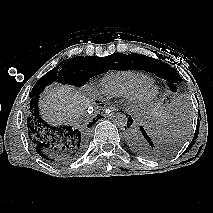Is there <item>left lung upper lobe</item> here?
<instances>
[{
	"label": "left lung upper lobe",
	"mask_w": 213,
	"mask_h": 213,
	"mask_svg": "<svg viewBox=\"0 0 213 213\" xmlns=\"http://www.w3.org/2000/svg\"><path fill=\"white\" fill-rule=\"evenodd\" d=\"M128 68L141 69L161 77L167 81L168 86L176 88L175 84L181 83L182 79L175 69L163 61L139 54H130Z\"/></svg>",
	"instance_id": "1"
}]
</instances>
